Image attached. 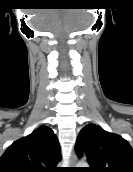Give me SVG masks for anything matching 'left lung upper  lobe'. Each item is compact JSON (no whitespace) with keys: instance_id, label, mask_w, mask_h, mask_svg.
<instances>
[{"instance_id":"5c2ea615","label":"left lung upper lobe","mask_w":133,"mask_h":172,"mask_svg":"<svg viewBox=\"0 0 133 172\" xmlns=\"http://www.w3.org/2000/svg\"><path fill=\"white\" fill-rule=\"evenodd\" d=\"M75 149L79 157L87 156L86 172H133V148L98 125L89 124L80 131Z\"/></svg>"}]
</instances>
